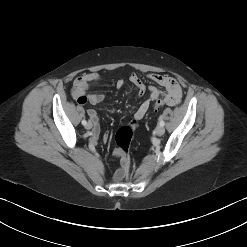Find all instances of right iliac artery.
<instances>
[{"instance_id":"82829eb1","label":"right iliac artery","mask_w":247,"mask_h":247,"mask_svg":"<svg viewBox=\"0 0 247 247\" xmlns=\"http://www.w3.org/2000/svg\"><path fill=\"white\" fill-rule=\"evenodd\" d=\"M82 124L85 126L87 124V121L85 119L82 120Z\"/></svg>"}]
</instances>
